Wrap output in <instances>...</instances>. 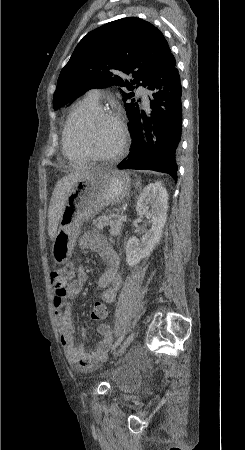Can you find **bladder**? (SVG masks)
<instances>
[{
  "instance_id": "obj_1",
  "label": "bladder",
  "mask_w": 245,
  "mask_h": 450,
  "mask_svg": "<svg viewBox=\"0 0 245 450\" xmlns=\"http://www.w3.org/2000/svg\"><path fill=\"white\" fill-rule=\"evenodd\" d=\"M108 377L110 383L119 389L129 387L136 379L134 372L129 367L122 365L115 368Z\"/></svg>"
}]
</instances>
